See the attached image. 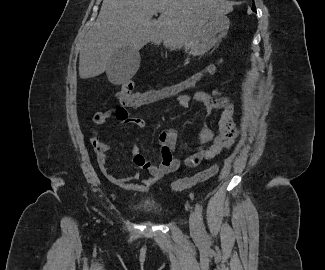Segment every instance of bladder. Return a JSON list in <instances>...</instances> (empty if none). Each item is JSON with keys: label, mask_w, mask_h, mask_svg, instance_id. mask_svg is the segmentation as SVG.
<instances>
[{"label": "bladder", "mask_w": 325, "mask_h": 270, "mask_svg": "<svg viewBox=\"0 0 325 270\" xmlns=\"http://www.w3.org/2000/svg\"><path fill=\"white\" fill-rule=\"evenodd\" d=\"M139 208L142 210H156L157 205L155 202L149 200V199H144L139 203Z\"/></svg>", "instance_id": "bladder-1"}]
</instances>
